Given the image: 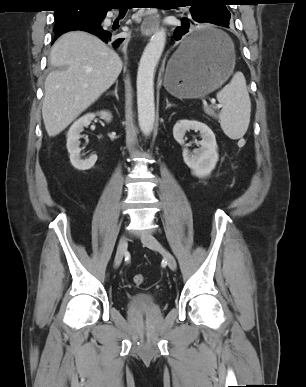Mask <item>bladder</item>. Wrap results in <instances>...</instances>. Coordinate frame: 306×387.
<instances>
[{
    "mask_svg": "<svg viewBox=\"0 0 306 387\" xmlns=\"http://www.w3.org/2000/svg\"><path fill=\"white\" fill-rule=\"evenodd\" d=\"M158 307V299L150 293H134L128 299V308L131 310L157 309Z\"/></svg>",
    "mask_w": 306,
    "mask_h": 387,
    "instance_id": "1",
    "label": "bladder"
}]
</instances>
